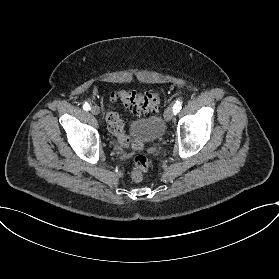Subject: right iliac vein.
<instances>
[{
  "label": "right iliac vein",
  "mask_w": 279,
  "mask_h": 279,
  "mask_svg": "<svg viewBox=\"0 0 279 279\" xmlns=\"http://www.w3.org/2000/svg\"><path fill=\"white\" fill-rule=\"evenodd\" d=\"M90 112L93 115H98L100 113V108L98 106L94 105L91 107Z\"/></svg>",
  "instance_id": "right-iliac-vein-1"
}]
</instances>
